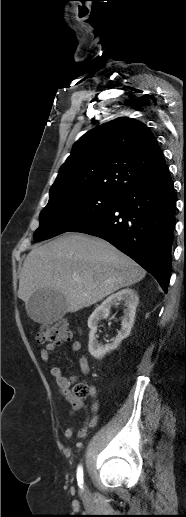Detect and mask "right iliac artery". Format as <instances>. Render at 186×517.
Here are the masks:
<instances>
[{
  "mask_svg": "<svg viewBox=\"0 0 186 517\" xmlns=\"http://www.w3.org/2000/svg\"><path fill=\"white\" fill-rule=\"evenodd\" d=\"M77 481L79 486H82L83 484V467L81 465L77 468Z\"/></svg>",
  "mask_w": 186,
  "mask_h": 517,
  "instance_id": "obj_1",
  "label": "right iliac artery"
}]
</instances>
